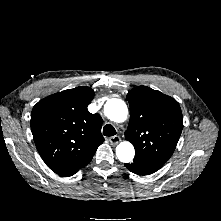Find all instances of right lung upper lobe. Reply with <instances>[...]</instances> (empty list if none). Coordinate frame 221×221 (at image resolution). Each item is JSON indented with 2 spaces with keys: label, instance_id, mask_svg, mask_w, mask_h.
Wrapping results in <instances>:
<instances>
[{
  "label": "right lung upper lobe",
  "instance_id": "cb5924a9",
  "mask_svg": "<svg viewBox=\"0 0 221 221\" xmlns=\"http://www.w3.org/2000/svg\"><path fill=\"white\" fill-rule=\"evenodd\" d=\"M94 91L85 86L65 90L40 100L31 113V130L46 165L62 177L86 166L104 141L102 118L87 106Z\"/></svg>",
  "mask_w": 221,
  "mask_h": 221
}]
</instances>
